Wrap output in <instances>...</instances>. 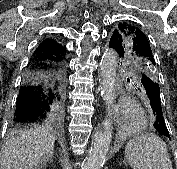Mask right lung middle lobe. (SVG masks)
<instances>
[{"label": "right lung middle lobe", "mask_w": 177, "mask_h": 169, "mask_svg": "<svg viewBox=\"0 0 177 169\" xmlns=\"http://www.w3.org/2000/svg\"><path fill=\"white\" fill-rule=\"evenodd\" d=\"M62 122H63V120L62 121H60V122H57V126H61L62 125Z\"/></svg>", "instance_id": "right-lung-middle-lobe-1"}]
</instances>
